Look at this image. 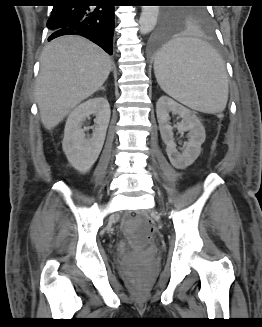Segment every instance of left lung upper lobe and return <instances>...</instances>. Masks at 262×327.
I'll return each mask as SVG.
<instances>
[{
  "instance_id": "1",
  "label": "left lung upper lobe",
  "mask_w": 262,
  "mask_h": 327,
  "mask_svg": "<svg viewBox=\"0 0 262 327\" xmlns=\"http://www.w3.org/2000/svg\"><path fill=\"white\" fill-rule=\"evenodd\" d=\"M181 3L200 4L203 0H178ZM210 14L205 6H192L184 9H167L163 14L162 25L173 28L182 24H196L209 27Z\"/></svg>"
}]
</instances>
